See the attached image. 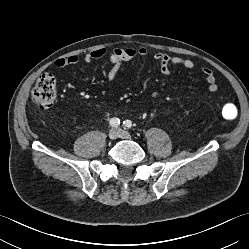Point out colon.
<instances>
[{"label": "colon", "instance_id": "5ec220e1", "mask_svg": "<svg viewBox=\"0 0 249 249\" xmlns=\"http://www.w3.org/2000/svg\"><path fill=\"white\" fill-rule=\"evenodd\" d=\"M56 98V80L50 73L40 76L32 90V100L41 109L50 108ZM236 115L234 105H225L222 109V116L225 119H232Z\"/></svg>", "mask_w": 249, "mask_h": 249}]
</instances>
